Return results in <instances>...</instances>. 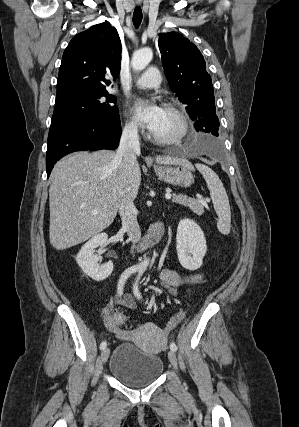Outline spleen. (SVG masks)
<instances>
[{
	"label": "spleen",
	"mask_w": 299,
	"mask_h": 427,
	"mask_svg": "<svg viewBox=\"0 0 299 427\" xmlns=\"http://www.w3.org/2000/svg\"><path fill=\"white\" fill-rule=\"evenodd\" d=\"M195 166L202 174L210 191L212 203L218 215L217 228L222 234L227 235L231 228V211L226 190L211 168L204 164H196Z\"/></svg>",
	"instance_id": "spleen-1"
}]
</instances>
